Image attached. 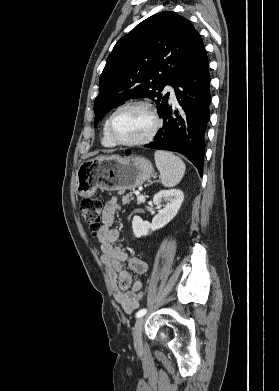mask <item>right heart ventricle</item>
<instances>
[{
  "mask_svg": "<svg viewBox=\"0 0 279 391\" xmlns=\"http://www.w3.org/2000/svg\"><path fill=\"white\" fill-rule=\"evenodd\" d=\"M106 127H107V120L105 121L104 125H103V129H102V138H101V143H102V146H104L105 148H113L115 147L116 145H114L110 139L108 138L107 136V131H106Z\"/></svg>",
  "mask_w": 279,
  "mask_h": 391,
  "instance_id": "obj_1",
  "label": "right heart ventricle"
}]
</instances>
